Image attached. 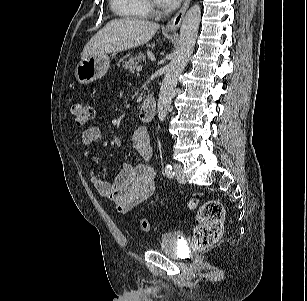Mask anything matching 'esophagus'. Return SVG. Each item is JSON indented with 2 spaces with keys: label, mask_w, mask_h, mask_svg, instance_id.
<instances>
[{
  "label": "esophagus",
  "mask_w": 307,
  "mask_h": 301,
  "mask_svg": "<svg viewBox=\"0 0 307 301\" xmlns=\"http://www.w3.org/2000/svg\"><path fill=\"white\" fill-rule=\"evenodd\" d=\"M191 0H184V3L182 5V7L180 8V10L176 13V15L167 23L166 25V30L167 31H176L180 25L181 22L183 20L184 14L190 4Z\"/></svg>",
  "instance_id": "esophagus-1"
}]
</instances>
